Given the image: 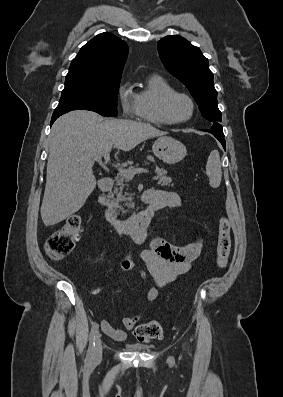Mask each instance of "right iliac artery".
Returning <instances> with one entry per match:
<instances>
[{"instance_id": "1", "label": "right iliac artery", "mask_w": 283, "mask_h": 397, "mask_svg": "<svg viewBox=\"0 0 283 397\" xmlns=\"http://www.w3.org/2000/svg\"><path fill=\"white\" fill-rule=\"evenodd\" d=\"M99 326L97 323H94L91 332H90V342H89V348L87 352V358L91 359L93 357V352L95 348V341H96V335L98 333Z\"/></svg>"}]
</instances>
